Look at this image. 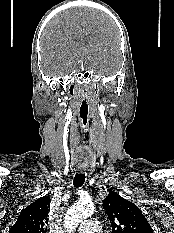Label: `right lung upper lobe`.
Returning <instances> with one entry per match:
<instances>
[{"label":"right lung upper lobe","mask_w":174,"mask_h":233,"mask_svg":"<svg viewBox=\"0 0 174 233\" xmlns=\"http://www.w3.org/2000/svg\"><path fill=\"white\" fill-rule=\"evenodd\" d=\"M50 202L46 195L24 208L9 233H46Z\"/></svg>","instance_id":"cb5924a9"}]
</instances>
